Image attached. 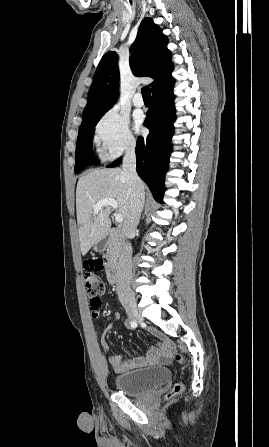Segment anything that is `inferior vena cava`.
Returning a JSON list of instances; mask_svg holds the SVG:
<instances>
[{"instance_id":"obj_1","label":"inferior vena cava","mask_w":269,"mask_h":447,"mask_svg":"<svg viewBox=\"0 0 269 447\" xmlns=\"http://www.w3.org/2000/svg\"><path fill=\"white\" fill-rule=\"evenodd\" d=\"M136 144H131L126 148L123 160V174L129 188L130 208L127 218H125L122 231L125 237H131L139 224L141 212L145 202V192L142 180L136 172ZM132 245L127 241L122 253L118 259L116 273V289L121 295L132 293L130 289L132 277Z\"/></svg>"}]
</instances>
